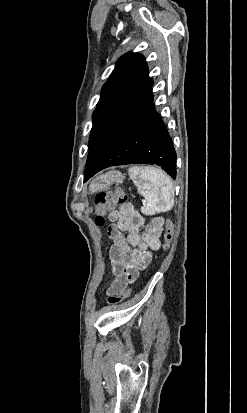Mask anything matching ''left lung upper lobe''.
Wrapping results in <instances>:
<instances>
[{
	"mask_svg": "<svg viewBox=\"0 0 247 413\" xmlns=\"http://www.w3.org/2000/svg\"><path fill=\"white\" fill-rule=\"evenodd\" d=\"M148 72L144 57L138 53H127L118 60L92 115L88 150L153 85Z\"/></svg>",
	"mask_w": 247,
	"mask_h": 413,
	"instance_id": "obj_1",
	"label": "left lung upper lobe"
}]
</instances>
